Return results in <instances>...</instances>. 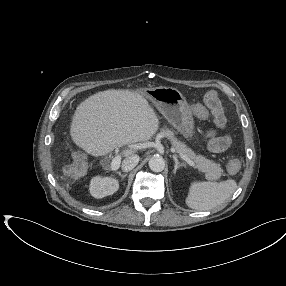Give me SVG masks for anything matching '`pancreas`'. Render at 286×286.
<instances>
[{
    "instance_id": "pancreas-1",
    "label": "pancreas",
    "mask_w": 286,
    "mask_h": 286,
    "mask_svg": "<svg viewBox=\"0 0 286 286\" xmlns=\"http://www.w3.org/2000/svg\"><path fill=\"white\" fill-rule=\"evenodd\" d=\"M160 134L171 141L172 147L176 150L177 153H182L186 155L188 158L194 160L196 168H198L199 171L205 173L206 179L217 180L220 178L222 174V169L219 164H216L212 160L206 159L202 155H196L184 143L178 141L171 130L162 129Z\"/></svg>"
}]
</instances>
